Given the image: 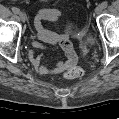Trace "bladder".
Segmentation results:
<instances>
[{
    "label": "bladder",
    "mask_w": 119,
    "mask_h": 119,
    "mask_svg": "<svg viewBox=\"0 0 119 119\" xmlns=\"http://www.w3.org/2000/svg\"><path fill=\"white\" fill-rule=\"evenodd\" d=\"M67 31L71 34L79 35V32L77 31V29L75 28V26L72 23L68 24ZM88 41L92 44V43H94V38L91 35H89Z\"/></svg>",
    "instance_id": "31cf9c89"
}]
</instances>
